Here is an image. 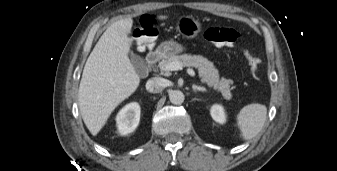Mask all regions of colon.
Wrapping results in <instances>:
<instances>
[{"instance_id": "1", "label": "colon", "mask_w": 337, "mask_h": 171, "mask_svg": "<svg viewBox=\"0 0 337 171\" xmlns=\"http://www.w3.org/2000/svg\"><path fill=\"white\" fill-rule=\"evenodd\" d=\"M239 32L228 27H210L205 31L204 37L216 46H229L235 44L239 39ZM135 43L139 47H148L157 39L156 24L149 15L139 18L134 29ZM247 61L255 76L261 65L259 57L249 49L245 50Z\"/></svg>"}]
</instances>
